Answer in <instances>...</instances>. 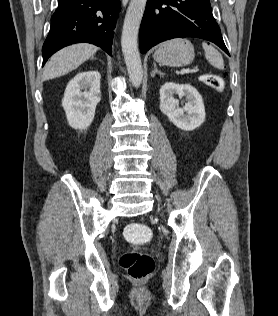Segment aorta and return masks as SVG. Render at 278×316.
Instances as JSON below:
<instances>
[{
    "label": "aorta",
    "mask_w": 278,
    "mask_h": 316,
    "mask_svg": "<svg viewBox=\"0 0 278 316\" xmlns=\"http://www.w3.org/2000/svg\"><path fill=\"white\" fill-rule=\"evenodd\" d=\"M147 0H130L124 19L121 46L129 78L133 86L142 83L143 69L138 51V33Z\"/></svg>",
    "instance_id": "obj_1"
}]
</instances>
